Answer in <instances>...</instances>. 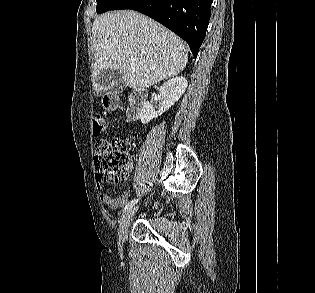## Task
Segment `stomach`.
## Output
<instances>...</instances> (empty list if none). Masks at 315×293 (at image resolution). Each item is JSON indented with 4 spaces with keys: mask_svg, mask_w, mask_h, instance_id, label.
Instances as JSON below:
<instances>
[{
    "mask_svg": "<svg viewBox=\"0 0 315 293\" xmlns=\"http://www.w3.org/2000/svg\"><path fill=\"white\" fill-rule=\"evenodd\" d=\"M118 103H120V96L116 92H105L102 99V106L105 110H118Z\"/></svg>",
    "mask_w": 315,
    "mask_h": 293,
    "instance_id": "1",
    "label": "stomach"
}]
</instances>
